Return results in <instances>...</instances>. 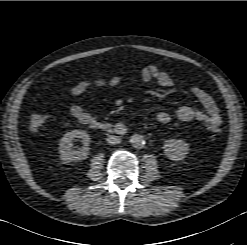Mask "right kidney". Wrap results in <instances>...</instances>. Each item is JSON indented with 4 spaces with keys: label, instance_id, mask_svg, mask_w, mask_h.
Returning <instances> with one entry per match:
<instances>
[{
    "label": "right kidney",
    "instance_id": "obj_1",
    "mask_svg": "<svg viewBox=\"0 0 247 245\" xmlns=\"http://www.w3.org/2000/svg\"><path fill=\"white\" fill-rule=\"evenodd\" d=\"M76 139H79L83 144L78 150L72 148V142ZM89 144L90 136L86 131L72 130L67 132L59 143L60 159L66 163L86 159L90 153Z\"/></svg>",
    "mask_w": 247,
    "mask_h": 245
}]
</instances>
